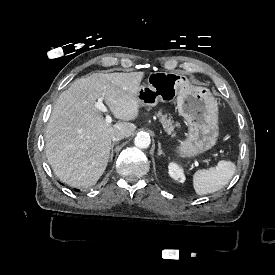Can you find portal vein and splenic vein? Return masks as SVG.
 Listing matches in <instances>:
<instances>
[{
	"mask_svg": "<svg viewBox=\"0 0 275 275\" xmlns=\"http://www.w3.org/2000/svg\"><path fill=\"white\" fill-rule=\"evenodd\" d=\"M96 107H97L98 110H100L102 113L105 114V120H106V122L111 123L112 122V117L109 114V110H108L107 106L103 104V102H102L101 99H99L96 102ZM194 164L198 165V162L194 161Z\"/></svg>",
	"mask_w": 275,
	"mask_h": 275,
	"instance_id": "1",
	"label": "portal vein and splenic vein"
}]
</instances>
